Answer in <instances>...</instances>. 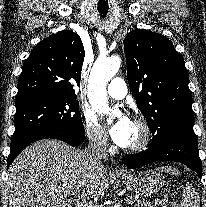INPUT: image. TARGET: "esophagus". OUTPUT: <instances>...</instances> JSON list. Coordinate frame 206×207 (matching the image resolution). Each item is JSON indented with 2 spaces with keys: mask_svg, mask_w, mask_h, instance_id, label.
<instances>
[{
  "mask_svg": "<svg viewBox=\"0 0 206 207\" xmlns=\"http://www.w3.org/2000/svg\"><path fill=\"white\" fill-rule=\"evenodd\" d=\"M113 172H114V174H116V175H122V174H124V170H123L122 168L118 167V166H116V167L113 169Z\"/></svg>",
  "mask_w": 206,
  "mask_h": 207,
  "instance_id": "1",
  "label": "esophagus"
}]
</instances>
